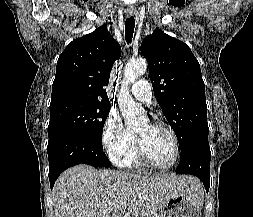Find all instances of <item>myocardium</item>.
<instances>
[{"label": "myocardium", "instance_id": "f54148a6", "mask_svg": "<svg viewBox=\"0 0 253 217\" xmlns=\"http://www.w3.org/2000/svg\"><path fill=\"white\" fill-rule=\"evenodd\" d=\"M151 125L154 127H157V128L165 129L169 133V135L171 136L172 141H173V145H174L173 159L167 165H158V164L154 163L153 161H151L143 149V146H142L139 136L136 134V147H135V149H136L138 159L144 165H146L150 168H153L155 170H159V171L170 170L177 164L178 159H179V155H180V143H179L178 136H177L175 130L169 124H167L165 122H153V123H151Z\"/></svg>", "mask_w": 253, "mask_h": 217}]
</instances>
